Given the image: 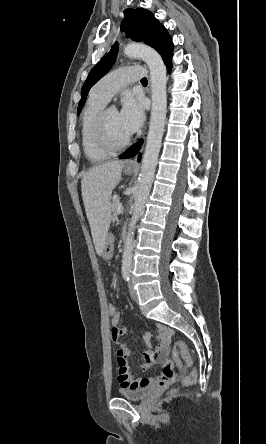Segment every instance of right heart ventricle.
I'll use <instances>...</instances> for the list:
<instances>
[{
	"label": "right heart ventricle",
	"mask_w": 266,
	"mask_h": 444,
	"mask_svg": "<svg viewBox=\"0 0 266 444\" xmlns=\"http://www.w3.org/2000/svg\"><path fill=\"white\" fill-rule=\"evenodd\" d=\"M107 101L91 93L81 118V143L85 155L92 161L109 158L112 152L97 148L91 139L92 125L98 114L105 108Z\"/></svg>",
	"instance_id": "1"
}]
</instances>
